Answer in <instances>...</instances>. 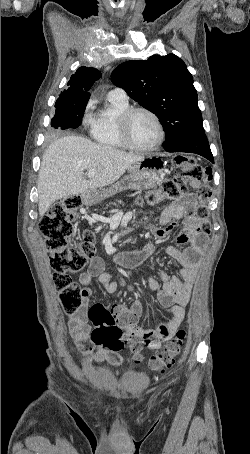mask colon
<instances>
[{
    "label": "colon",
    "mask_w": 250,
    "mask_h": 454,
    "mask_svg": "<svg viewBox=\"0 0 250 454\" xmlns=\"http://www.w3.org/2000/svg\"><path fill=\"white\" fill-rule=\"evenodd\" d=\"M173 161L177 175L163 182L157 189L149 191L141 202L155 204L163 200L179 199L186 192L190 181L201 180L203 185L198 191L199 204L194 214L199 221V230L209 234L211 224L207 202L213 192L210 185L212 169L200 166L184 155H176ZM81 202L79 195L60 199L40 222L59 302L64 311L70 314L77 312L82 305L80 288L71 275L82 271L95 253V236L92 232L86 231L79 241L74 239V222ZM87 316L94 326L91 333L94 344L116 353L128 348L135 354L136 362L141 361L139 352L142 339L135 327L136 320L131 315L117 317L102 304H94ZM184 338L185 332L179 330L171 342L159 348L149 359V367L159 373L170 368L181 352Z\"/></svg>",
    "instance_id": "1"
}]
</instances>
